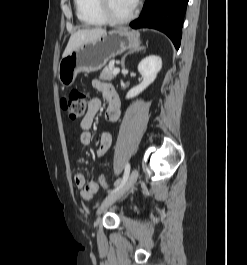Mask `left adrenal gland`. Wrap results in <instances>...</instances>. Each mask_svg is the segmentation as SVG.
I'll return each instance as SVG.
<instances>
[{
  "label": "left adrenal gland",
  "instance_id": "a2214340",
  "mask_svg": "<svg viewBox=\"0 0 247 265\" xmlns=\"http://www.w3.org/2000/svg\"><path fill=\"white\" fill-rule=\"evenodd\" d=\"M145 49H146L145 47L141 46V47H137L135 49L130 50L127 54H125L123 56V58L121 60V67L125 68V58H126L127 55L135 53V52H140V51H143V50L145 51Z\"/></svg>",
  "mask_w": 247,
  "mask_h": 265
}]
</instances>
